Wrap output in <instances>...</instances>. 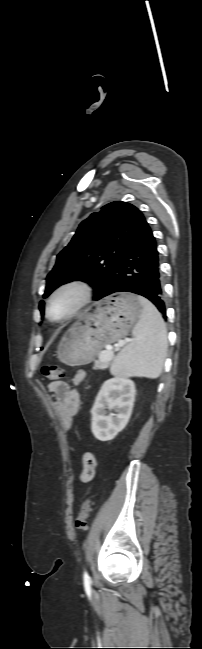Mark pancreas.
Wrapping results in <instances>:
<instances>
[{"label":"pancreas","instance_id":"obj_1","mask_svg":"<svg viewBox=\"0 0 202 649\" xmlns=\"http://www.w3.org/2000/svg\"><path fill=\"white\" fill-rule=\"evenodd\" d=\"M105 351H106L107 354H111V355H113V351H112V350H105ZM102 352H103V351H101V352L99 353V356L102 354ZM109 366H110V362H109V361H102V360L99 359V361H96V362H95L94 368H95V369H106V368H108Z\"/></svg>","mask_w":202,"mask_h":649}]
</instances>
